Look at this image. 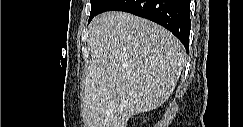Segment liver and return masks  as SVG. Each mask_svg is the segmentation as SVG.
Instances as JSON below:
<instances>
[{
	"label": "liver",
	"mask_w": 243,
	"mask_h": 127,
	"mask_svg": "<svg viewBox=\"0 0 243 127\" xmlns=\"http://www.w3.org/2000/svg\"><path fill=\"white\" fill-rule=\"evenodd\" d=\"M91 60L83 98L87 127H126L129 118L161 106L185 65V49L168 30L124 12L89 25Z\"/></svg>",
	"instance_id": "obj_1"
}]
</instances>
